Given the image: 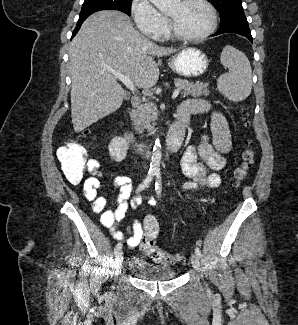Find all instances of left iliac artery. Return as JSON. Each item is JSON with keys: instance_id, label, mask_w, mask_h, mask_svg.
<instances>
[{"instance_id": "1", "label": "left iliac artery", "mask_w": 298, "mask_h": 325, "mask_svg": "<svg viewBox=\"0 0 298 325\" xmlns=\"http://www.w3.org/2000/svg\"><path fill=\"white\" fill-rule=\"evenodd\" d=\"M156 175V184H155V190H156V195L159 197L161 195L162 191V179H161V173L157 171L155 173ZM195 253L198 257H201V250L199 247L195 248Z\"/></svg>"}]
</instances>
